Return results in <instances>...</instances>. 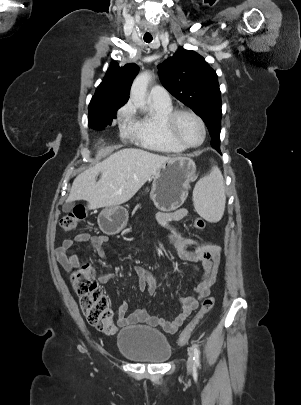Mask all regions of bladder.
<instances>
[{
	"label": "bladder",
	"mask_w": 301,
	"mask_h": 405,
	"mask_svg": "<svg viewBox=\"0 0 301 405\" xmlns=\"http://www.w3.org/2000/svg\"><path fill=\"white\" fill-rule=\"evenodd\" d=\"M117 348L125 357L144 363H163L172 353L167 338L160 331L146 326L122 329L118 334Z\"/></svg>",
	"instance_id": "31cf9c89"
}]
</instances>
